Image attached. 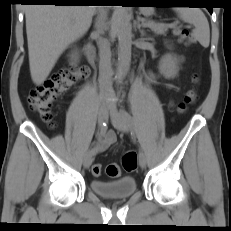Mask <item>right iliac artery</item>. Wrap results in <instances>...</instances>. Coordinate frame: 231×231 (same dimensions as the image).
Here are the masks:
<instances>
[{
	"label": "right iliac artery",
	"instance_id": "82829eb1",
	"mask_svg": "<svg viewBox=\"0 0 231 231\" xmlns=\"http://www.w3.org/2000/svg\"><path fill=\"white\" fill-rule=\"evenodd\" d=\"M106 130H107V126H106V123L103 122L102 124H100V127H99V130L97 132V136L98 137H102L105 133H106ZM90 153L94 156L96 153L94 151V149H91L90 150Z\"/></svg>",
	"mask_w": 231,
	"mask_h": 231
}]
</instances>
